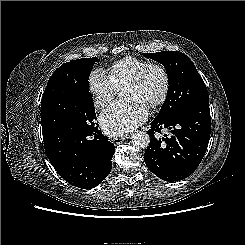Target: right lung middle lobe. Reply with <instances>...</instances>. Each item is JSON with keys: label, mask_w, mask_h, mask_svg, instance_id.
Returning a JSON list of instances; mask_svg holds the SVG:
<instances>
[{"label": "right lung middle lobe", "mask_w": 245, "mask_h": 245, "mask_svg": "<svg viewBox=\"0 0 245 245\" xmlns=\"http://www.w3.org/2000/svg\"><path fill=\"white\" fill-rule=\"evenodd\" d=\"M98 58L67 62L59 67L56 104L41 114L42 127L88 128L94 125L95 108L89 93L88 79Z\"/></svg>", "instance_id": "right-lung-middle-lobe-1"}]
</instances>
